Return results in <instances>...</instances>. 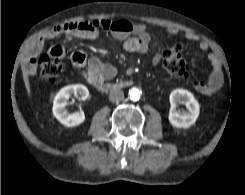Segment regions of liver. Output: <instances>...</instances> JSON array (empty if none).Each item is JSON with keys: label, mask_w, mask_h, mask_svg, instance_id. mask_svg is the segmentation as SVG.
I'll list each match as a JSON object with an SVG mask.
<instances>
[{"label": "liver", "mask_w": 245, "mask_h": 195, "mask_svg": "<svg viewBox=\"0 0 245 195\" xmlns=\"http://www.w3.org/2000/svg\"><path fill=\"white\" fill-rule=\"evenodd\" d=\"M23 80L25 83L27 93L29 96H31L30 82H29V78H28V73L26 71H23Z\"/></svg>", "instance_id": "6515ba94"}]
</instances>
